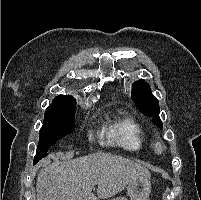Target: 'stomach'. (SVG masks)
<instances>
[{
	"mask_svg": "<svg viewBox=\"0 0 201 200\" xmlns=\"http://www.w3.org/2000/svg\"><path fill=\"white\" fill-rule=\"evenodd\" d=\"M151 192L150 178L141 177L127 185V193L130 200H148ZM112 200H127L125 197L113 198Z\"/></svg>",
	"mask_w": 201,
	"mask_h": 200,
	"instance_id": "obj_1",
	"label": "stomach"
}]
</instances>
